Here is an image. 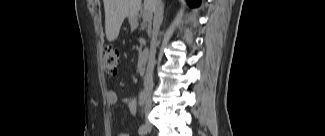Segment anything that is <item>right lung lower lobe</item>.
I'll return each mask as SVG.
<instances>
[{
  "label": "right lung lower lobe",
  "mask_w": 325,
  "mask_h": 136,
  "mask_svg": "<svg viewBox=\"0 0 325 136\" xmlns=\"http://www.w3.org/2000/svg\"><path fill=\"white\" fill-rule=\"evenodd\" d=\"M192 7H197L200 5L201 0H188Z\"/></svg>",
  "instance_id": "obj_1"
}]
</instances>
